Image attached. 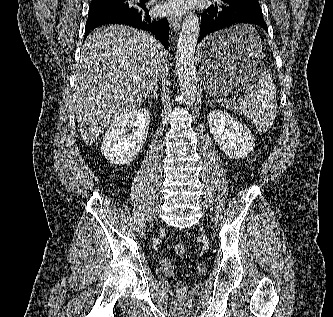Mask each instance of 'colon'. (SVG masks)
Listing matches in <instances>:
<instances>
[{
  "label": "colon",
  "instance_id": "1",
  "mask_svg": "<svg viewBox=\"0 0 333 317\" xmlns=\"http://www.w3.org/2000/svg\"><path fill=\"white\" fill-rule=\"evenodd\" d=\"M174 251L178 257H184V255L186 254V247L184 244L178 243L175 245ZM188 275H189V272L187 270H183V272H182L183 279L178 283L179 291H182V292L185 291V289H186L185 279L188 277Z\"/></svg>",
  "mask_w": 333,
  "mask_h": 317
}]
</instances>
